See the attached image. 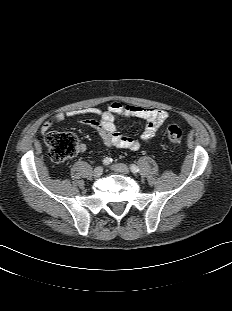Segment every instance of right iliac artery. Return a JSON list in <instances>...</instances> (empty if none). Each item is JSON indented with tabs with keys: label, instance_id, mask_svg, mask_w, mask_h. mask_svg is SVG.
I'll use <instances>...</instances> for the list:
<instances>
[{
	"label": "right iliac artery",
	"instance_id": "obj_1",
	"mask_svg": "<svg viewBox=\"0 0 232 311\" xmlns=\"http://www.w3.org/2000/svg\"><path fill=\"white\" fill-rule=\"evenodd\" d=\"M102 162L104 165H109L112 162V159L110 157H106Z\"/></svg>",
	"mask_w": 232,
	"mask_h": 311
}]
</instances>
